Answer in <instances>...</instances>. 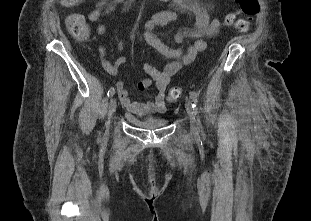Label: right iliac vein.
I'll return each mask as SVG.
<instances>
[{
    "instance_id": "obj_1",
    "label": "right iliac vein",
    "mask_w": 311,
    "mask_h": 221,
    "mask_svg": "<svg viewBox=\"0 0 311 221\" xmlns=\"http://www.w3.org/2000/svg\"><path fill=\"white\" fill-rule=\"evenodd\" d=\"M116 107H117L116 100H115V98L111 97L110 100H109V106H108V120H107V126L108 127L110 125L111 116L115 112Z\"/></svg>"
}]
</instances>
